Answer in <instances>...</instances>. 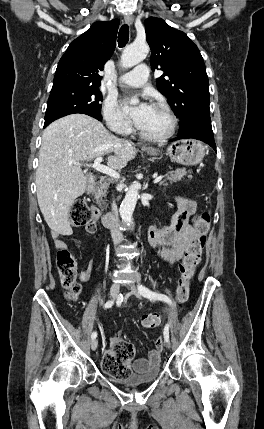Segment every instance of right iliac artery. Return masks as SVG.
Here are the masks:
<instances>
[{"label": "right iliac artery", "instance_id": "1", "mask_svg": "<svg viewBox=\"0 0 264 429\" xmlns=\"http://www.w3.org/2000/svg\"><path fill=\"white\" fill-rule=\"evenodd\" d=\"M113 304H114V301L113 300H111V301H107L106 302V304L104 305V307L107 309V308H111L112 306H113ZM97 337V332H93L92 333V335H91V338L92 339H95Z\"/></svg>", "mask_w": 264, "mask_h": 429}]
</instances>
